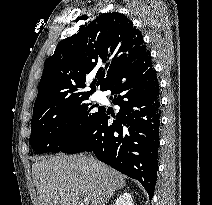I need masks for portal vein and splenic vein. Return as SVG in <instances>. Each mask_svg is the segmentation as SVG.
Here are the masks:
<instances>
[{"label": "portal vein and splenic vein", "mask_w": 212, "mask_h": 205, "mask_svg": "<svg viewBox=\"0 0 212 205\" xmlns=\"http://www.w3.org/2000/svg\"><path fill=\"white\" fill-rule=\"evenodd\" d=\"M83 203L86 204V205L89 204V199L88 198H84Z\"/></svg>", "instance_id": "18ae733b"}]
</instances>
